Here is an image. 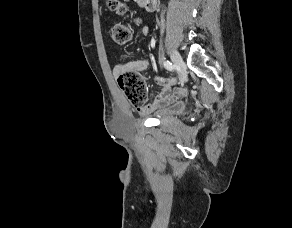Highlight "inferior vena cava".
<instances>
[{"instance_id": "inferior-vena-cava-1", "label": "inferior vena cava", "mask_w": 292, "mask_h": 228, "mask_svg": "<svg viewBox=\"0 0 292 228\" xmlns=\"http://www.w3.org/2000/svg\"><path fill=\"white\" fill-rule=\"evenodd\" d=\"M161 23H162V25H163V20H161Z\"/></svg>"}]
</instances>
